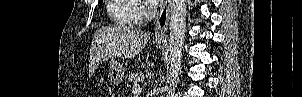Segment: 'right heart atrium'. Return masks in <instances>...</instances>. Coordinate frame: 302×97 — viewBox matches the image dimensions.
Returning a JSON list of instances; mask_svg holds the SVG:
<instances>
[{
  "label": "right heart atrium",
  "instance_id": "1",
  "mask_svg": "<svg viewBox=\"0 0 302 97\" xmlns=\"http://www.w3.org/2000/svg\"><path fill=\"white\" fill-rule=\"evenodd\" d=\"M147 17H148V9L144 5H141L138 8V21L142 22L146 20Z\"/></svg>",
  "mask_w": 302,
  "mask_h": 97
}]
</instances>
